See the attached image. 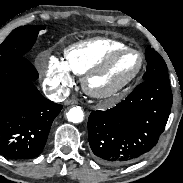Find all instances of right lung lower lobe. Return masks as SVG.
<instances>
[{
  "label": "right lung lower lobe",
  "instance_id": "right-lung-lower-lobe-1",
  "mask_svg": "<svg viewBox=\"0 0 183 183\" xmlns=\"http://www.w3.org/2000/svg\"><path fill=\"white\" fill-rule=\"evenodd\" d=\"M38 77L25 56L0 62V154L9 159L38 156L62 109L34 86Z\"/></svg>",
  "mask_w": 183,
  "mask_h": 183
}]
</instances>
